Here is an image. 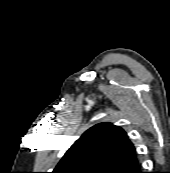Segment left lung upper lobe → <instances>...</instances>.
I'll return each mask as SVG.
<instances>
[{
	"label": "left lung upper lobe",
	"mask_w": 170,
	"mask_h": 173,
	"mask_svg": "<svg viewBox=\"0 0 170 173\" xmlns=\"http://www.w3.org/2000/svg\"><path fill=\"white\" fill-rule=\"evenodd\" d=\"M136 159L126 132L111 123H100L75 141L52 173H118Z\"/></svg>",
	"instance_id": "1"
}]
</instances>
